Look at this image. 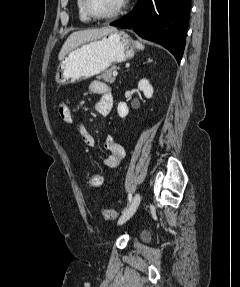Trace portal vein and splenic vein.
<instances>
[{"label": "portal vein and splenic vein", "mask_w": 240, "mask_h": 287, "mask_svg": "<svg viewBox=\"0 0 240 287\" xmlns=\"http://www.w3.org/2000/svg\"><path fill=\"white\" fill-rule=\"evenodd\" d=\"M113 75L116 76V75H117V72L115 71V72L113 73Z\"/></svg>", "instance_id": "1"}]
</instances>
